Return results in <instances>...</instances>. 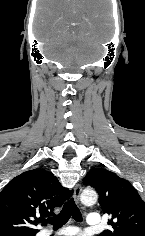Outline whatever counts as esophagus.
<instances>
[{"label": "esophagus", "mask_w": 145, "mask_h": 236, "mask_svg": "<svg viewBox=\"0 0 145 236\" xmlns=\"http://www.w3.org/2000/svg\"><path fill=\"white\" fill-rule=\"evenodd\" d=\"M81 186L78 184L75 189H74V199L77 203H79V198H80V194H81Z\"/></svg>", "instance_id": "esophagus-1"}]
</instances>
